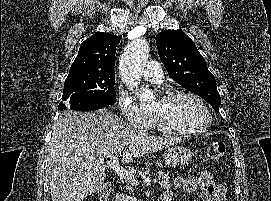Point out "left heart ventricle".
<instances>
[{
  "label": "left heart ventricle",
  "instance_id": "left-heart-ventricle-1",
  "mask_svg": "<svg viewBox=\"0 0 271 201\" xmlns=\"http://www.w3.org/2000/svg\"><path fill=\"white\" fill-rule=\"evenodd\" d=\"M152 110L172 127L182 131L196 129L207 121L204 108L197 101L188 97L157 100L154 102Z\"/></svg>",
  "mask_w": 271,
  "mask_h": 201
}]
</instances>
